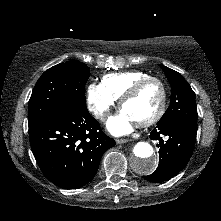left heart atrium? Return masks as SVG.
<instances>
[{
	"label": "left heart atrium",
	"instance_id": "1",
	"mask_svg": "<svg viewBox=\"0 0 221 221\" xmlns=\"http://www.w3.org/2000/svg\"><path fill=\"white\" fill-rule=\"evenodd\" d=\"M134 123L135 121L129 115L124 111H121L119 114L108 120L107 129L111 134L121 136L130 133L133 129Z\"/></svg>",
	"mask_w": 221,
	"mask_h": 221
}]
</instances>
